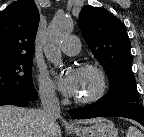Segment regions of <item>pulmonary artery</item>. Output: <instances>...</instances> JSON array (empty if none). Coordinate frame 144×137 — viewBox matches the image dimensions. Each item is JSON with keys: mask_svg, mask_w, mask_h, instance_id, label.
<instances>
[{"mask_svg": "<svg viewBox=\"0 0 144 137\" xmlns=\"http://www.w3.org/2000/svg\"><path fill=\"white\" fill-rule=\"evenodd\" d=\"M81 47L80 40L74 35L66 37L61 45V50L66 55L72 56L79 52Z\"/></svg>", "mask_w": 144, "mask_h": 137, "instance_id": "1", "label": "pulmonary artery"}]
</instances>
